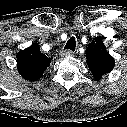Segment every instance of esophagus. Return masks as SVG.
<instances>
[{
  "mask_svg": "<svg viewBox=\"0 0 127 127\" xmlns=\"http://www.w3.org/2000/svg\"><path fill=\"white\" fill-rule=\"evenodd\" d=\"M73 54H74V52H72L71 50H62L60 52L61 57L73 56Z\"/></svg>",
  "mask_w": 127,
  "mask_h": 127,
  "instance_id": "esophagus-1",
  "label": "esophagus"
}]
</instances>
